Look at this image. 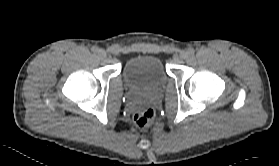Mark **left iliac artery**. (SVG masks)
Segmentation results:
<instances>
[{
    "mask_svg": "<svg viewBox=\"0 0 279 166\" xmlns=\"http://www.w3.org/2000/svg\"><path fill=\"white\" fill-rule=\"evenodd\" d=\"M188 53H189L190 55H193V54L195 53V50H194L193 48H189V49H188Z\"/></svg>",
    "mask_w": 279,
    "mask_h": 166,
    "instance_id": "left-iliac-artery-1",
    "label": "left iliac artery"
}]
</instances>
